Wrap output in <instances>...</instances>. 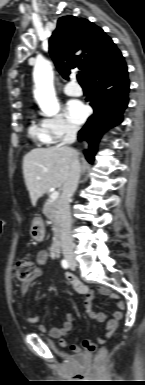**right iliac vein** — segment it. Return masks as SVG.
Masks as SVG:
<instances>
[{"label": "right iliac vein", "mask_w": 145, "mask_h": 385, "mask_svg": "<svg viewBox=\"0 0 145 385\" xmlns=\"http://www.w3.org/2000/svg\"><path fill=\"white\" fill-rule=\"evenodd\" d=\"M67 260L71 264V266H76V262L73 258H67Z\"/></svg>", "instance_id": "right-iliac-vein-1"}]
</instances>
